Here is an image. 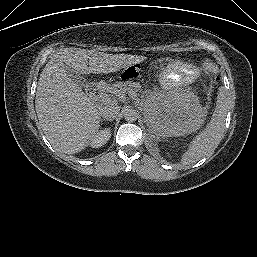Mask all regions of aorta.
Wrapping results in <instances>:
<instances>
[{"mask_svg": "<svg viewBox=\"0 0 257 257\" xmlns=\"http://www.w3.org/2000/svg\"><path fill=\"white\" fill-rule=\"evenodd\" d=\"M123 115H124L125 120L128 122H134L138 118L137 111L132 107H126L124 109Z\"/></svg>", "mask_w": 257, "mask_h": 257, "instance_id": "obj_1", "label": "aorta"}]
</instances>
